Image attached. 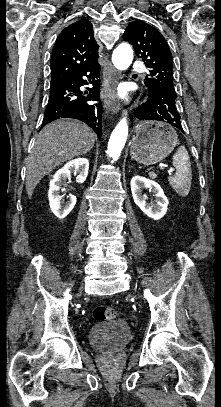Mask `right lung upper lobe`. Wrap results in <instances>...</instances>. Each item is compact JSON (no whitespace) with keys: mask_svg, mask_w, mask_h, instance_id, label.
Segmentation results:
<instances>
[{"mask_svg":"<svg viewBox=\"0 0 221 407\" xmlns=\"http://www.w3.org/2000/svg\"><path fill=\"white\" fill-rule=\"evenodd\" d=\"M98 48L89 20L76 21L62 30L52 50L51 84L97 62Z\"/></svg>","mask_w":221,"mask_h":407,"instance_id":"obj_1","label":"right lung upper lobe"}]
</instances>
